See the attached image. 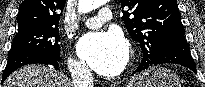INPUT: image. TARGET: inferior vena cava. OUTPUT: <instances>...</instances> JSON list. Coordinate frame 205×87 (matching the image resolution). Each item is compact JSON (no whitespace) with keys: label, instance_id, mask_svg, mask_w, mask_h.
Masks as SVG:
<instances>
[{"label":"inferior vena cava","instance_id":"1","mask_svg":"<svg viewBox=\"0 0 205 87\" xmlns=\"http://www.w3.org/2000/svg\"><path fill=\"white\" fill-rule=\"evenodd\" d=\"M70 71L73 87H93L94 78L85 63L74 65Z\"/></svg>","mask_w":205,"mask_h":87}]
</instances>
